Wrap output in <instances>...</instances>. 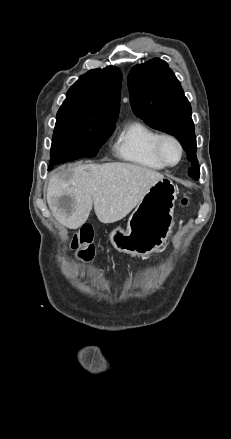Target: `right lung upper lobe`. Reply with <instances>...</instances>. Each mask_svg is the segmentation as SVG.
<instances>
[{
	"mask_svg": "<svg viewBox=\"0 0 231 439\" xmlns=\"http://www.w3.org/2000/svg\"><path fill=\"white\" fill-rule=\"evenodd\" d=\"M121 83L122 74L116 67L88 71L69 89L57 118L87 117L115 124Z\"/></svg>",
	"mask_w": 231,
	"mask_h": 439,
	"instance_id": "obj_1",
	"label": "right lung upper lobe"
}]
</instances>
